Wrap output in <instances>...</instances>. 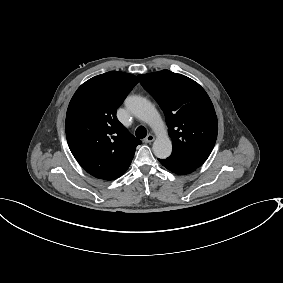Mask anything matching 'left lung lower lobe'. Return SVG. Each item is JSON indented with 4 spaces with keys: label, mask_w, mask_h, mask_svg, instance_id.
Segmentation results:
<instances>
[{
    "label": "left lung lower lobe",
    "mask_w": 283,
    "mask_h": 283,
    "mask_svg": "<svg viewBox=\"0 0 283 283\" xmlns=\"http://www.w3.org/2000/svg\"><path fill=\"white\" fill-rule=\"evenodd\" d=\"M160 163L166 167L168 170L172 171L173 173L179 174V175H185L189 174L193 171H195L198 167H194L185 163L173 161L170 159H158Z\"/></svg>",
    "instance_id": "1"
}]
</instances>
